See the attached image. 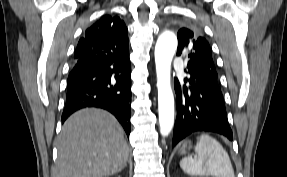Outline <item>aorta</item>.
I'll use <instances>...</instances> for the list:
<instances>
[{"label": "aorta", "mask_w": 287, "mask_h": 177, "mask_svg": "<svg viewBox=\"0 0 287 177\" xmlns=\"http://www.w3.org/2000/svg\"><path fill=\"white\" fill-rule=\"evenodd\" d=\"M177 49V37L163 32L155 46V64L158 88L159 126L162 136H168L174 125V96L171 88V63Z\"/></svg>", "instance_id": "1"}]
</instances>
